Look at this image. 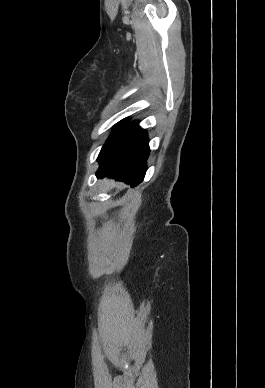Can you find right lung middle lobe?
<instances>
[{"instance_id":"dd1d6c3e","label":"right lung middle lobe","mask_w":265,"mask_h":388,"mask_svg":"<svg viewBox=\"0 0 265 388\" xmlns=\"http://www.w3.org/2000/svg\"><path fill=\"white\" fill-rule=\"evenodd\" d=\"M127 122H128V119L126 118V119L121 120L118 124H116L114 131L112 132V134L110 135V137L108 139H110L116 133H118L127 124Z\"/></svg>"}]
</instances>
